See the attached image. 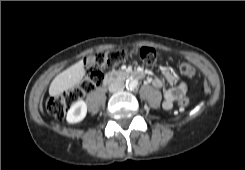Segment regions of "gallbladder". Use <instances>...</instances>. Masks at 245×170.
I'll return each mask as SVG.
<instances>
[{
    "instance_id": "gallbladder-1",
    "label": "gallbladder",
    "mask_w": 245,
    "mask_h": 170,
    "mask_svg": "<svg viewBox=\"0 0 245 170\" xmlns=\"http://www.w3.org/2000/svg\"><path fill=\"white\" fill-rule=\"evenodd\" d=\"M88 60H89V62L94 61V56L93 55L89 56Z\"/></svg>"
}]
</instances>
